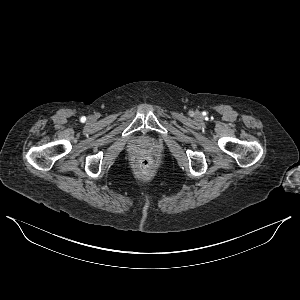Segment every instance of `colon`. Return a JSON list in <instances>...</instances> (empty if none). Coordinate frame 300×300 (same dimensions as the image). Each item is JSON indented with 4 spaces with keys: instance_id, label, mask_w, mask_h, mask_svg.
Wrapping results in <instances>:
<instances>
[{
    "instance_id": "colon-1",
    "label": "colon",
    "mask_w": 300,
    "mask_h": 300,
    "mask_svg": "<svg viewBox=\"0 0 300 300\" xmlns=\"http://www.w3.org/2000/svg\"><path fill=\"white\" fill-rule=\"evenodd\" d=\"M135 166L140 173L148 174L153 170L155 161L151 156H142L136 160Z\"/></svg>"
}]
</instances>
